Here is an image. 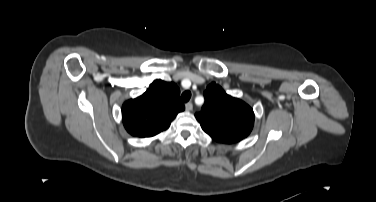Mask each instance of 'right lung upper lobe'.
I'll return each mask as SVG.
<instances>
[{
    "label": "right lung upper lobe",
    "instance_id": "obj_1",
    "mask_svg": "<svg viewBox=\"0 0 376 202\" xmlns=\"http://www.w3.org/2000/svg\"><path fill=\"white\" fill-rule=\"evenodd\" d=\"M179 95L175 83L155 80L145 93L123 104L122 119L127 132L137 137H152L168 129L176 115L185 109Z\"/></svg>",
    "mask_w": 376,
    "mask_h": 202
}]
</instances>
